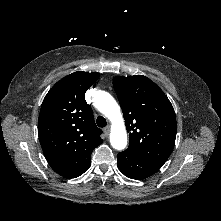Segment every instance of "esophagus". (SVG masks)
Listing matches in <instances>:
<instances>
[{
  "instance_id": "esophagus-1",
  "label": "esophagus",
  "mask_w": 221,
  "mask_h": 221,
  "mask_svg": "<svg viewBox=\"0 0 221 221\" xmlns=\"http://www.w3.org/2000/svg\"><path fill=\"white\" fill-rule=\"evenodd\" d=\"M104 132H105L106 135H108L109 132H110V126H107V127L104 129Z\"/></svg>"
}]
</instances>
